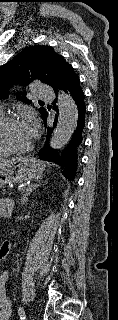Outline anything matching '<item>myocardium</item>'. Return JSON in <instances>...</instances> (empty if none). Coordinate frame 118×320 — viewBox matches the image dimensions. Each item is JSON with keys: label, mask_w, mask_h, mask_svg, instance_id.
<instances>
[{"label": "myocardium", "mask_w": 118, "mask_h": 320, "mask_svg": "<svg viewBox=\"0 0 118 320\" xmlns=\"http://www.w3.org/2000/svg\"><path fill=\"white\" fill-rule=\"evenodd\" d=\"M16 122H24L23 118L18 115H9V116H2L0 118V147L7 153L10 154H24L30 152L34 148V144L31 142L25 148H13L7 144V142L3 138V131L4 129Z\"/></svg>", "instance_id": "myocardium-1"}]
</instances>
